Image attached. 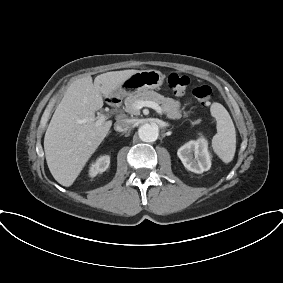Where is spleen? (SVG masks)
<instances>
[{
    "mask_svg": "<svg viewBox=\"0 0 283 283\" xmlns=\"http://www.w3.org/2000/svg\"><path fill=\"white\" fill-rule=\"evenodd\" d=\"M210 112L216 120L217 129L212 139V148L224 163H230L236 151V131L233 121L220 103H212Z\"/></svg>",
    "mask_w": 283,
    "mask_h": 283,
    "instance_id": "3e777b00",
    "label": "spleen"
}]
</instances>
